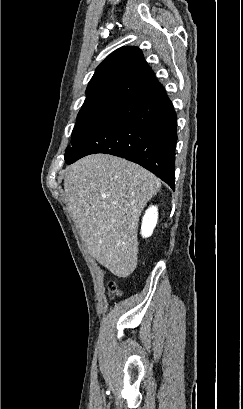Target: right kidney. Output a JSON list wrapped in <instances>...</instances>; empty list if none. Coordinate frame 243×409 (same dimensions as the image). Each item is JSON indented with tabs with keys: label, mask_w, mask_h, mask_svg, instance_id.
Instances as JSON below:
<instances>
[{
	"label": "right kidney",
	"mask_w": 243,
	"mask_h": 409,
	"mask_svg": "<svg viewBox=\"0 0 243 409\" xmlns=\"http://www.w3.org/2000/svg\"><path fill=\"white\" fill-rule=\"evenodd\" d=\"M158 220V208L156 206L149 207L142 219L141 234L143 237L152 235L153 230Z\"/></svg>",
	"instance_id": "ca27d5eb"
}]
</instances>
